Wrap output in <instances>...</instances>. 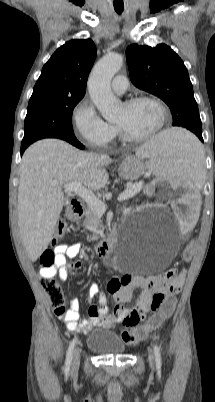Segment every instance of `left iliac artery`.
Wrapping results in <instances>:
<instances>
[{
  "label": "left iliac artery",
  "instance_id": "44dca946",
  "mask_svg": "<svg viewBox=\"0 0 215 402\" xmlns=\"http://www.w3.org/2000/svg\"><path fill=\"white\" fill-rule=\"evenodd\" d=\"M154 355L157 367H161V354L160 349L157 345H154Z\"/></svg>",
  "mask_w": 215,
  "mask_h": 402
}]
</instances>
